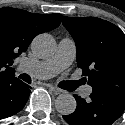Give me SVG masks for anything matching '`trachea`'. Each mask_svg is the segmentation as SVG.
<instances>
[{"label": "trachea", "mask_w": 125, "mask_h": 125, "mask_svg": "<svg viewBox=\"0 0 125 125\" xmlns=\"http://www.w3.org/2000/svg\"><path fill=\"white\" fill-rule=\"evenodd\" d=\"M19 77H20L22 80H24L25 82L31 83V77H30L28 74L23 73V74H20ZM75 85H76L75 87H77V86L80 85V83H79V82H76Z\"/></svg>", "instance_id": "obj_1"}]
</instances>
